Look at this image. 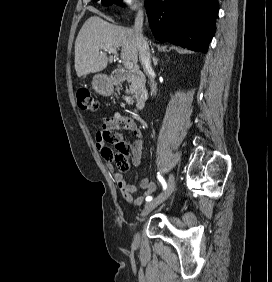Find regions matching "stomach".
Listing matches in <instances>:
<instances>
[{
  "label": "stomach",
  "instance_id": "0dacf381",
  "mask_svg": "<svg viewBox=\"0 0 272 282\" xmlns=\"http://www.w3.org/2000/svg\"><path fill=\"white\" fill-rule=\"evenodd\" d=\"M93 87L97 92L102 94H109L112 90L109 78L103 74H98L93 77Z\"/></svg>",
  "mask_w": 272,
  "mask_h": 282
}]
</instances>
